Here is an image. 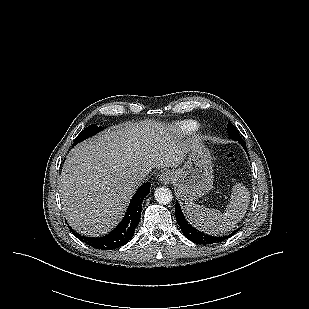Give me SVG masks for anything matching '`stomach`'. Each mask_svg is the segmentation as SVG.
Returning <instances> with one entry per match:
<instances>
[{"label":"stomach","instance_id":"stomach-1","mask_svg":"<svg viewBox=\"0 0 309 309\" xmlns=\"http://www.w3.org/2000/svg\"><path fill=\"white\" fill-rule=\"evenodd\" d=\"M212 166L209 149L201 140H192L187 161L182 168L173 170L178 196L186 202H193L208 193L213 187Z\"/></svg>","mask_w":309,"mask_h":309}]
</instances>
